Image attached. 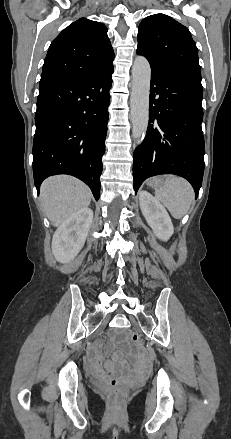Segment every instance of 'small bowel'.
Returning a JSON list of instances; mask_svg holds the SVG:
<instances>
[{
    "label": "small bowel",
    "instance_id": "obj_1",
    "mask_svg": "<svg viewBox=\"0 0 231 439\" xmlns=\"http://www.w3.org/2000/svg\"><path fill=\"white\" fill-rule=\"evenodd\" d=\"M116 358H118V356H116ZM92 359H93V367H94L96 374L98 376H104L105 373H104V370L102 368L103 359H102V356L100 355V353H95L93 355ZM138 367L143 372L148 370V366L144 362L140 363ZM110 373H113V371L110 370Z\"/></svg>",
    "mask_w": 231,
    "mask_h": 439
}]
</instances>
